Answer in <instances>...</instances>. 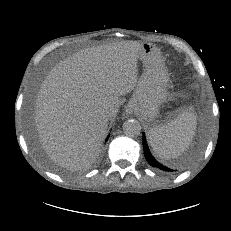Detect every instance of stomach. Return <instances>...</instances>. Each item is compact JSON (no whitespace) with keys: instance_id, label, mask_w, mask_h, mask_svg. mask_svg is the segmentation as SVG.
Listing matches in <instances>:
<instances>
[{"instance_id":"0dacf381","label":"stomach","mask_w":231,"mask_h":231,"mask_svg":"<svg viewBox=\"0 0 231 231\" xmlns=\"http://www.w3.org/2000/svg\"><path fill=\"white\" fill-rule=\"evenodd\" d=\"M138 59L143 71L128 103V109L136 112L149 125H156L161 104L167 96L169 76L164 59L151 43H143Z\"/></svg>"}]
</instances>
